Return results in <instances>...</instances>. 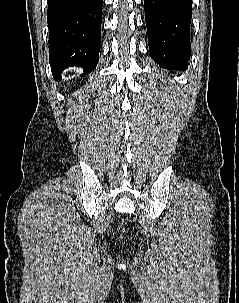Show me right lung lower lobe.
I'll return each mask as SVG.
<instances>
[{
	"instance_id": "right-lung-lower-lobe-1",
	"label": "right lung lower lobe",
	"mask_w": 239,
	"mask_h": 303,
	"mask_svg": "<svg viewBox=\"0 0 239 303\" xmlns=\"http://www.w3.org/2000/svg\"><path fill=\"white\" fill-rule=\"evenodd\" d=\"M103 0H48L49 63L55 80L69 66L91 72L99 60Z\"/></svg>"
}]
</instances>
